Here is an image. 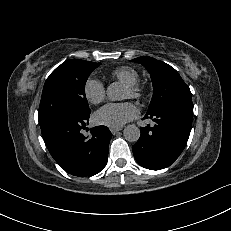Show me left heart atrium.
Returning <instances> with one entry per match:
<instances>
[{
	"mask_svg": "<svg viewBox=\"0 0 231 231\" xmlns=\"http://www.w3.org/2000/svg\"><path fill=\"white\" fill-rule=\"evenodd\" d=\"M136 115L137 109L130 102L108 103L95 113L94 121L109 128H121Z\"/></svg>",
	"mask_w": 231,
	"mask_h": 231,
	"instance_id": "left-heart-atrium-1",
	"label": "left heart atrium"
}]
</instances>
